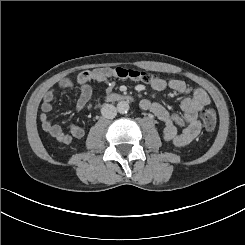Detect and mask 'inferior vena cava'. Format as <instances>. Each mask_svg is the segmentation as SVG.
<instances>
[{
    "mask_svg": "<svg viewBox=\"0 0 245 245\" xmlns=\"http://www.w3.org/2000/svg\"><path fill=\"white\" fill-rule=\"evenodd\" d=\"M101 114L106 119H113L117 115V109L111 104H106L102 107Z\"/></svg>",
    "mask_w": 245,
    "mask_h": 245,
    "instance_id": "602c4592",
    "label": "inferior vena cava"
}]
</instances>
